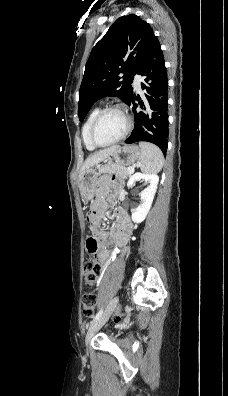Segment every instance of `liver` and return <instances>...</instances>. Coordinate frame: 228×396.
Returning <instances> with one entry per match:
<instances>
[{"instance_id": "6515ba94", "label": "liver", "mask_w": 228, "mask_h": 396, "mask_svg": "<svg viewBox=\"0 0 228 396\" xmlns=\"http://www.w3.org/2000/svg\"><path fill=\"white\" fill-rule=\"evenodd\" d=\"M119 146H111L109 148L100 150L92 155H90L84 162L81 170H80V175L88 168L93 167L97 165L98 163L104 161L107 159L112 153L117 150Z\"/></svg>"}]
</instances>
